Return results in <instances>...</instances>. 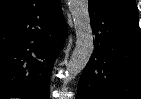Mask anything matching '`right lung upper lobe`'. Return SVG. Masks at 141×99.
<instances>
[{"label": "right lung upper lobe", "mask_w": 141, "mask_h": 99, "mask_svg": "<svg viewBox=\"0 0 141 99\" xmlns=\"http://www.w3.org/2000/svg\"><path fill=\"white\" fill-rule=\"evenodd\" d=\"M32 0H0V15H3L14 9L26 6Z\"/></svg>", "instance_id": "obj_1"}]
</instances>
